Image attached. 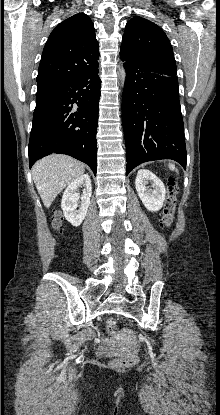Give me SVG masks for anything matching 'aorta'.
<instances>
[{"label":"aorta","instance_id":"obj_1","mask_svg":"<svg viewBox=\"0 0 220 415\" xmlns=\"http://www.w3.org/2000/svg\"><path fill=\"white\" fill-rule=\"evenodd\" d=\"M120 77H121V83L123 85L125 83V79H126V72H125L124 69L121 70Z\"/></svg>","mask_w":220,"mask_h":415}]
</instances>
